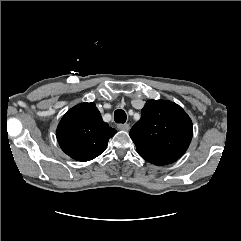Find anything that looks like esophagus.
<instances>
[{
  "label": "esophagus",
  "instance_id": "obj_1",
  "mask_svg": "<svg viewBox=\"0 0 241 241\" xmlns=\"http://www.w3.org/2000/svg\"><path fill=\"white\" fill-rule=\"evenodd\" d=\"M117 128H118L119 130L128 131L129 128H130V126H129V124H127V123H125V124H118V125H117Z\"/></svg>",
  "mask_w": 241,
  "mask_h": 241
}]
</instances>
